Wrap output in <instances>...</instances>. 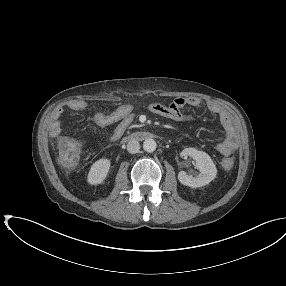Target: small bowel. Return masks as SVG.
Instances as JSON below:
<instances>
[{"instance_id":"1","label":"small bowel","mask_w":286,"mask_h":286,"mask_svg":"<svg viewBox=\"0 0 286 286\" xmlns=\"http://www.w3.org/2000/svg\"><path fill=\"white\" fill-rule=\"evenodd\" d=\"M201 103L202 101L197 97H178L168 105L152 103L148 106V109L154 114L173 121H187L189 117L183 113V109L187 106L198 107ZM207 109L219 117L225 129V138L215 146V149L223 156L229 157L239 146V136L236 132L233 118L230 112L220 104L209 102L207 103ZM67 110L88 113L93 123L100 127L114 125L113 131L108 136L110 141L120 139L134 120V110L129 104H123L112 112L105 113L86 101L73 100L67 105ZM65 111L64 108H56L51 115L50 134L53 137L58 136L62 132L60 120L64 116Z\"/></svg>"}]
</instances>
